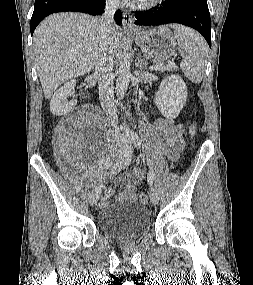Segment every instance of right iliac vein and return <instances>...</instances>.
Wrapping results in <instances>:
<instances>
[{"mask_svg": "<svg viewBox=\"0 0 253 285\" xmlns=\"http://www.w3.org/2000/svg\"><path fill=\"white\" fill-rule=\"evenodd\" d=\"M124 157H126V151L124 148H121L118 152V162H117L118 166L121 165V162L123 161ZM101 192H102V185H99L92 190L91 194L89 195V202L92 206L98 202Z\"/></svg>", "mask_w": 253, "mask_h": 285, "instance_id": "obj_1", "label": "right iliac vein"}]
</instances>
